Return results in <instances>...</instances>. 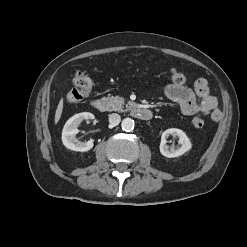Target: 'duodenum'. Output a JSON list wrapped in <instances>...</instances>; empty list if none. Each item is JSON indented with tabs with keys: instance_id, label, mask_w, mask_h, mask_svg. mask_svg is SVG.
<instances>
[{
	"instance_id": "1",
	"label": "duodenum",
	"mask_w": 247,
	"mask_h": 247,
	"mask_svg": "<svg viewBox=\"0 0 247 247\" xmlns=\"http://www.w3.org/2000/svg\"><path fill=\"white\" fill-rule=\"evenodd\" d=\"M91 105L94 109L100 112H105L109 108V103L105 98H96L91 102ZM131 114L135 118L143 121H148L153 117V113L150 109L140 106H134L131 109Z\"/></svg>"
}]
</instances>
